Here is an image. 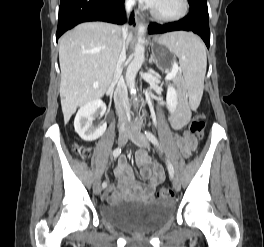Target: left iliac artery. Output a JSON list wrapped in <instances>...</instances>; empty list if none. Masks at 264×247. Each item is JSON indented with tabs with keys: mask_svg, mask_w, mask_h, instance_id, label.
Listing matches in <instances>:
<instances>
[{
	"mask_svg": "<svg viewBox=\"0 0 264 247\" xmlns=\"http://www.w3.org/2000/svg\"><path fill=\"white\" fill-rule=\"evenodd\" d=\"M145 135L147 137V139L154 145L159 146V141L156 138V136L151 133L150 131H145ZM168 171L171 177L174 176V168L172 166V164L170 163V161H168Z\"/></svg>",
	"mask_w": 264,
	"mask_h": 247,
	"instance_id": "obj_1",
	"label": "left iliac artery"
}]
</instances>
